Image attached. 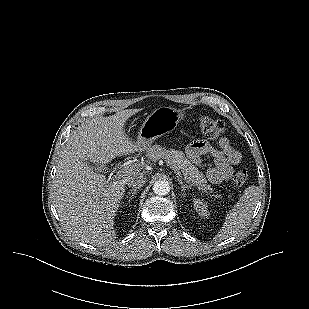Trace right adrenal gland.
<instances>
[{"label": "right adrenal gland", "mask_w": 309, "mask_h": 309, "mask_svg": "<svg viewBox=\"0 0 309 309\" xmlns=\"http://www.w3.org/2000/svg\"><path fill=\"white\" fill-rule=\"evenodd\" d=\"M139 189H140V188H133L130 192H128V194L131 195L130 198H129V202H130V200H131L133 197H135V195L137 194V192H138Z\"/></svg>", "instance_id": "right-adrenal-gland-1"}]
</instances>
